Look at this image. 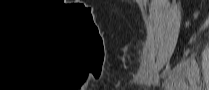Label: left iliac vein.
Returning a JSON list of instances; mask_svg holds the SVG:
<instances>
[{"instance_id":"left-iliac-vein-1","label":"left iliac vein","mask_w":209,"mask_h":90,"mask_svg":"<svg viewBox=\"0 0 209 90\" xmlns=\"http://www.w3.org/2000/svg\"><path fill=\"white\" fill-rule=\"evenodd\" d=\"M189 82H190V85L192 87L196 86V84H195V76L193 74L189 76Z\"/></svg>"}]
</instances>
